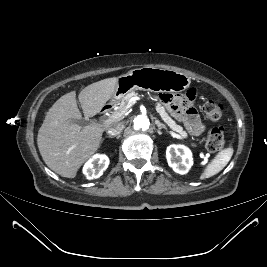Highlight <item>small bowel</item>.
<instances>
[{"label":"small bowel","instance_id":"small-bowel-1","mask_svg":"<svg viewBox=\"0 0 267 267\" xmlns=\"http://www.w3.org/2000/svg\"><path fill=\"white\" fill-rule=\"evenodd\" d=\"M194 90H189L185 95L164 93L160 96L164 106L177 119L182 121L192 135H200L204 132V125L200 121L192 101Z\"/></svg>","mask_w":267,"mask_h":267}]
</instances>
